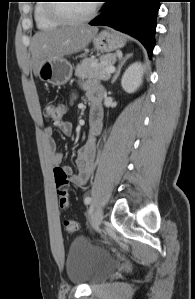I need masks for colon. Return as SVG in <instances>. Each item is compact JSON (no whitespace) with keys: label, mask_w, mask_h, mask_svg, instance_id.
<instances>
[{"label":"colon","mask_w":195,"mask_h":299,"mask_svg":"<svg viewBox=\"0 0 195 299\" xmlns=\"http://www.w3.org/2000/svg\"><path fill=\"white\" fill-rule=\"evenodd\" d=\"M66 110V105L63 102H49L44 107V116L53 126H59L63 122ZM53 173L59 197V206L62 210H66L69 207L68 176L61 167H55ZM64 227L68 233H74L79 229V223L75 220L67 219L64 221Z\"/></svg>","instance_id":"obj_1"}]
</instances>
